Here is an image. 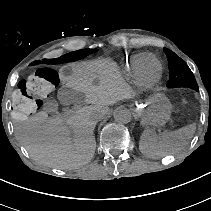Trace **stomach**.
<instances>
[{"label": "stomach", "instance_id": "0dacf381", "mask_svg": "<svg viewBox=\"0 0 211 211\" xmlns=\"http://www.w3.org/2000/svg\"><path fill=\"white\" fill-rule=\"evenodd\" d=\"M172 106L168 98L161 93L156 94L147 103L136 108L141 123L145 126L160 127L170 119Z\"/></svg>", "mask_w": 211, "mask_h": 211}]
</instances>
